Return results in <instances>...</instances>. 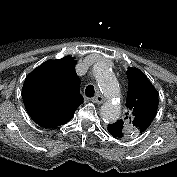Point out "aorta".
Segmentation results:
<instances>
[{"label":"aorta","mask_w":177,"mask_h":177,"mask_svg":"<svg viewBox=\"0 0 177 177\" xmlns=\"http://www.w3.org/2000/svg\"><path fill=\"white\" fill-rule=\"evenodd\" d=\"M93 74L102 94L107 101L101 106L100 115L104 121L116 122L121 114V107L112 100L119 96V86L113 72L101 62L93 66Z\"/></svg>","instance_id":"aorta-1"}]
</instances>
